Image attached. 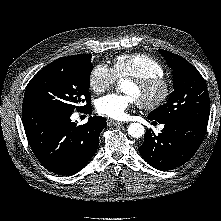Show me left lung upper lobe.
<instances>
[{
  "instance_id": "5c2ea615",
  "label": "left lung upper lobe",
  "mask_w": 221,
  "mask_h": 221,
  "mask_svg": "<svg viewBox=\"0 0 221 221\" xmlns=\"http://www.w3.org/2000/svg\"><path fill=\"white\" fill-rule=\"evenodd\" d=\"M159 52L173 69L174 91L166 104L148 116L158 122L186 120L208 124L210 101L202 75L183 57L162 49Z\"/></svg>"
}]
</instances>
